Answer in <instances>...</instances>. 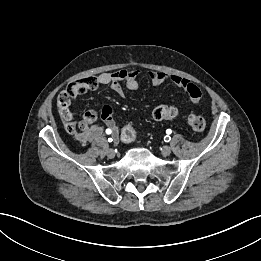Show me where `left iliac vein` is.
Segmentation results:
<instances>
[{
	"label": "left iliac vein",
	"mask_w": 261,
	"mask_h": 261,
	"mask_svg": "<svg viewBox=\"0 0 261 261\" xmlns=\"http://www.w3.org/2000/svg\"><path fill=\"white\" fill-rule=\"evenodd\" d=\"M170 153H171V148L169 146H164L162 148V154L164 156H168V155H170Z\"/></svg>",
	"instance_id": "4c4485c4"
}]
</instances>
